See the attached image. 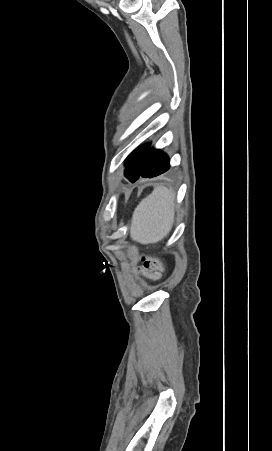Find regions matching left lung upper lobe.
<instances>
[{
  "instance_id": "1",
  "label": "left lung upper lobe",
  "mask_w": 272,
  "mask_h": 451,
  "mask_svg": "<svg viewBox=\"0 0 272 451\" xmlns=\"http://www.w3.org/2000/svg\"><path fill=\"white\" fill-rule=\"evenodd\" d=\"M150 144H144L133 151L125 161L127 168L125 169L126 178L137 177L143 167Z\"/></svg>"
}]
</instances>
